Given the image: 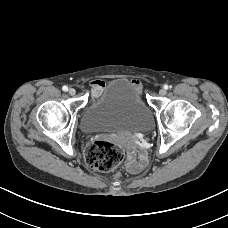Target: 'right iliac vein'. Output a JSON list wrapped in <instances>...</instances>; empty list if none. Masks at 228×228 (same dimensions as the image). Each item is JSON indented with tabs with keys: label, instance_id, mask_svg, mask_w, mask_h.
<instances>
[{
	"label": "right iliac vein",
	"instance_id": "obj_1",
	"mask_svg": "<svg viewBox=\"0 0 228 228\" xmlns=\"http://www.w3.org/2000/svg\"><path fill=\"white\" fill-rule=\"evenodd\" d=\"M68 93H69L71 96H73V95H75L76 91H75V89L70 88V89L68 90Z\"/></svg>",
	"mask_w": 228,
	"mask_h": 228
}]
</instances>
